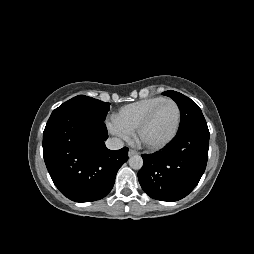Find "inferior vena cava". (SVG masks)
<instances>
[{
  "label": "inferior vena cava",
  "mask_w": 254,
  "mask_h": 254,
  "mask_svg": "<svg viewBox=\"0 0 254 254\" xmlns=\"http://www.w3.org/2000/svg\"><path fill=\"white\" fill-rule=\"evenodd\" d=\"M106 147L110 150H118L123 148L124 143L118 138H108L105 142Z\"/></svg>",
  "instance_id": "inferior-vena-cava-1"
}]
</instances>
